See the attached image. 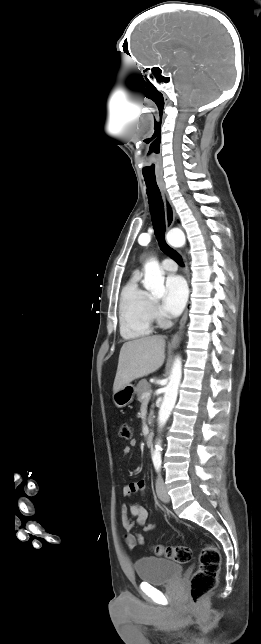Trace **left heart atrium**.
I'll list each match as a JSON object with an SVG mask.
<instances>
[{
  "mask_svg": "<svg viewBox=\"0 0 261 644\" xmlns=\"http://www.w3.org/2000/svg\"><path fill=\"white\" fill-rule=\"evenodd\" d=\"M165 297L162 308L166 315H179L187 301V286L184 279L178 275H171L165 283Z\"/></svg>",
  "mask_w": 261,
  "mask_h": 644,
  "instance_id": "obj_1",
  "label": "left heart atrium"
}]
</instances>
